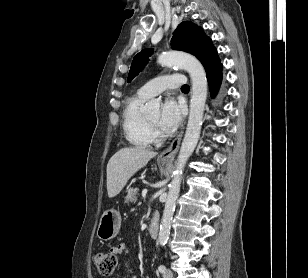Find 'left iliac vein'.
Returning a JSON list of instances; mask_svg holds the SVG:
<instances>
[{"label":"left iliac vein","instance_id":"1","mask_svg":"<svg viewBox=\"0 0 308 278\" xmlns=\"http://www.w3.org/2000/svg\"><path fill=\"white\" fill-rule=\"evenodd\" d=\"M163 278H173V273L170 269L165 270L163 273Z\"/></svg>","mask_w":308,"mask_h":278}]
</instances>
